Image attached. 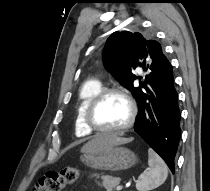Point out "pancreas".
Returning <instances> with one entry per match:
<instances>
[{"instance_id": "pancreas-1", "label": "pancreas", "mask_w": 210, "mask_h": 191, "mask_svg": "<svg viewBox=\"0 0 210 191\" xmlns=\"http://www.w3.org/2000/svg\"><path fill=\"white\" fill-rule=\"evenodd\" d=\"M119 183H120V178L118 177L103 176L102 184L99 185L103 186L106 189V191H113V189H115Z\"/></svg>"}]
</instances>
